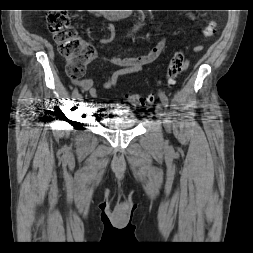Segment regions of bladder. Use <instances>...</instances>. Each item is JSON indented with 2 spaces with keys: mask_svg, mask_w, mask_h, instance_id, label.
I'll return each instance as SVG.
<instances>
[{
  "mask_svg": "<svg viewBox=\"0 0 253 253\" xmlns=\"http://www.w3.org/2000/svg\"><path fill=\"white\" fill-rule=\"evenodd\" d=\"M101 122L104 127L114 130H128L137 126V119L125 107L100 112Z\"/></svg>",
  "mask_w": 253,
  "mask_h": 253,
  "instance_id": "1",
  "label": "bladder"
}]
</instances>
